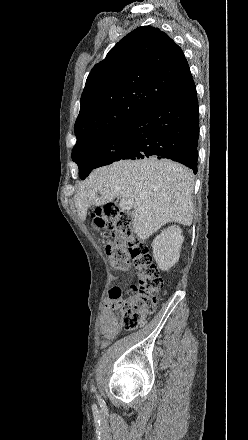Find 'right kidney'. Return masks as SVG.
Returning a JSON list of instances; mask_svg holds the SVG:
<instances>
[{
  "instance_id": "ca27d5eb",
  "label": "right kidney",
  "mask_w": 248,
  "mask_h": 440,
  "mask_svg": "<svg viewBox=\"0 0 248 440\" xmlns=\"http://www.w3.org/2000/svg\"><path fill=\"white\" fill-rule=\"evenodd\" d=\"M183 241L182 230L176 225L155 237L152 243L153 257L161 270L168 271L177 263Z\"/></svg>"
}]
</instances>
